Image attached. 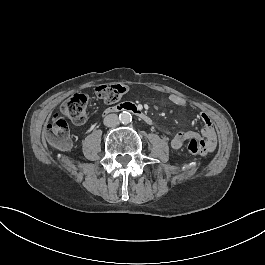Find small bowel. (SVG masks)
Wrapping results in <instances>:
<instances>
[{"label": "small bowel", "mask_w": 265, "mask_h": 265, "mask_svg": "<svg viewBox=\"0 0 265 265\" xmlns=\"http://www.w3.org/2000/svg\"><path fill=\"white\" fill-rule=\"evenodd\" d=\"M171 103H173L176 106H186L187 102L186 100L176 94H173L169 97ZM197 119L201 122L202 124V130L201 133L204 137L201 135H197L196 133L192 132H178L177 134L174 135V137L171 140V147L173 149H180L183 147L185 142L190 138H196V140L199 143L200 147V153L204 155V157H209L210 153L214 151L215 146H216V138H215V130L213 126V122L211 118L206 114V113H200L197 116ZM209 150V151H208Z\"/></svg>", "instance_id": "c3829d8e"}]
</instances>
